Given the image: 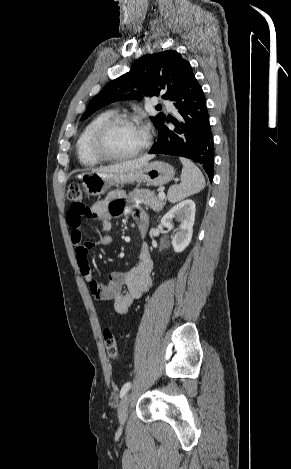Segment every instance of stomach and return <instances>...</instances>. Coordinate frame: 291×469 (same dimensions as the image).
I'll return each mask as SVG.
<instances>
[{
  "label": "stomach",
  "mask_w": 291,
  "mask_h": 469,
  "mask_svg": "<svg viewBox=\"0 0 291 469\" xmlns=\"http://www.w3.org/2000/svg\"><path fill=\"white\" fill-rule=\"evenodd\" d=\"M174 168L162 161H153L139 169L128 172L98 173L86 172L82 174V186L91 196L103 195L112 186L133 182H144L151 186H162L174 177Z\"/></svg>",
  "instance_id": "obj_1"
}]
</instances>
